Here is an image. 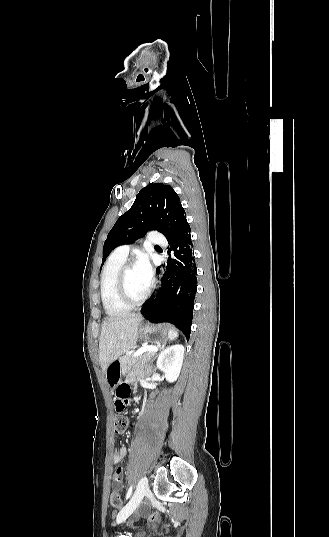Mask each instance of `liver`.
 I'll return each mask as SVG.
<instances>
[{
    "instance_id": "obj_1",
    "label": "liver",
    "mask_w": 329,
    "mask_h": 537,
    "mask_svg": "<svg viewBox=\"0 0 329 537\" xmlns=\"http://www.w3.org/2000/svg\"><path fill=\"white\" fill-rule=\"evenodd\" d=\"M140 314L110 317L103 321L99 341V361L102 371L122 354L129 351L137 341Z\"/></svg>"
}]
</instances>
